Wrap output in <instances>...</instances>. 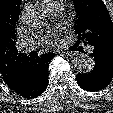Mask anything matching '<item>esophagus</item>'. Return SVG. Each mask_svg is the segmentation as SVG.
<instances>
[{"label":"esophagus","instance_id":"34e87169","mask_svg":"<svg viewBox=\"0 0 113 113\" xmlns=\"http://www.w3.org/2000/svg\"><path fill=\"white\" fill-rule=\"evenodd\" d=\"M63 53L69 57H74L76 55L74 51H63Z\"/></svg>","mask_w":113,"mask_h":113}]
</instances>
